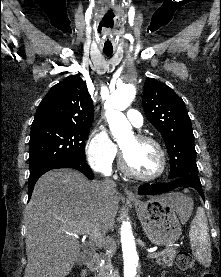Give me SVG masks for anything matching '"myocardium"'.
Wrapping results in <instances>:
<instances>
[{
    "instance_id": "f54148a6",
    "label": "myocardium",
    "mask_w": 221,
    "mask_h": 277,
    "mask_svg": "<svg viewBox=\"0 0 221 277\" xmlns=\"http://www.w3.org/2000/svg\"><path fill=\"white\" fill-rule=\"evenodd\" d=\"M134 139L138 143H150V144H153L157 148L159 155H160L159 170L151 176H144V175L138 174L137 172L133 171L130 168V166L127 162V159L125 157V154H124L123 150L120 148L119 163H120L121 170L127 176L137 179V180H140V181L150 182V181H154V180L160 178L163 175V173L166 169V165H167V155H166L165 149L163 148V146L157 139H155L151 136H147V135H143V134H136V135H134Z\"/></svg>"
}]
</instances>
